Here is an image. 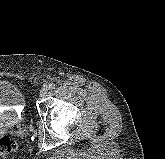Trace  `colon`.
<instances>
[{
	"instance_id": "obj_1",
	"label": "colon",
	"mask_w": 165,
	"mask_h": 159,
	"mask_svg": "<svg viewBox=\"0 0 165 159\" xmlns=\"http://www.w3.org/2000/svg\"><path fill=\"white\" fill-rule=\"evenodd\" d=\"M17 147V142L12 138L7 136L0 138V157H6L15 152Z\"/></svg>"
}]
</instances>
